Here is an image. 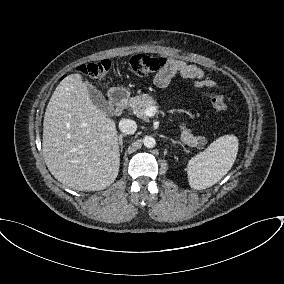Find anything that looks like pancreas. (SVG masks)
<instances>
[{
    "label": "pancreas",
    "instance_id": "cf45deb5",
    "mask_svg": "<svg viewBox=\"0 0 284 284\" xmlns=\"http://www.w3.org/2000/svg\"><path fill=\"white\" fill-rule=\"evenodd\" d=\"M128 106L130 107V110H132V112L137 115V117L146 120L147 116L145 115V110L151 106L156 107V101L149 94H141L132 97L129 100ZM180 128H181V141L184 144H187L188 146L191 147H197L198 149L204 148V146L207 143L205 137L194 136L193 134H191V131L185 127L184 124H182Z\"/></svg>",
    "mask_w": 284,
    "mask_h": 284
}]
</instances>
